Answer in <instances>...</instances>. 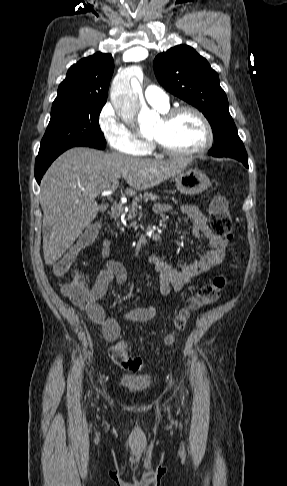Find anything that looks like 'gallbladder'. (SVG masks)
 Here are the masks:
<instances>
[{
	"mask_svg": "<svg viewBox=\"0 0 287 486\" xmlns=\"http://www.w3.org/2000/svg\"><path fill=\"white\" fill-rule=\"evenodd\" d=\"M104 209H105V207H104V206H102V207H101V210H104Z\"/></svg>",
	"mask_w": 287,
	"mask_h": 486,
	"instance_id": "bac80fb5",
	"label": "gallbladder"
}]
</instances>
